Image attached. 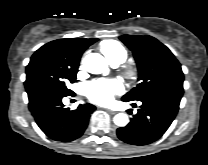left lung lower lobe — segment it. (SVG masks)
Returning a JSON list of instances; mask_svg holds the SVG:
<instances>
[{
    "mask_svg": "<svg viewBox=\"0 0 208 165\" xmlns=\"http://www.w3.org/2000/svg\"><path fill=\"white\" fill-rule=\"evenodd\" d=\"M182 95V89L164 88L138 100L142 105L137 114L127 126L117 129L119 139L139 146L158 140L174 120Z\"/></svg>",
    "mask_w": 208,
    "mask_h": 165,
    "instance_id": "obj_1",
    "label": "left lung lower lobe"
}]
</instances>
